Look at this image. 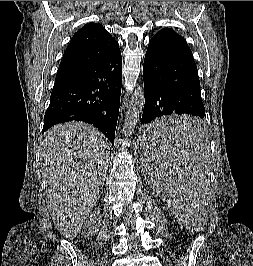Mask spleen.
Instances as JSON below:
<instances>
[{"mask_svg": "<svg viewBox=\"0 0 253 266\" xmlns=\"http://www.w3.org/2000/svg\"><path fill=\"white\" fill-rule=\"evenodd\" d=\"M205 124L198 115L165 113L155 123H142L146 138H140L141 169H147L150 187L163 204L177 214L181 229L190 235L204 234L203 201L207 199L209 141H203Z\"/></svg>", "mask_w": 253, "mask_h": 266, "instance_id": "spleen-1", "label": "spleen"}]
</instances>
